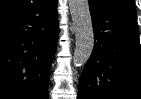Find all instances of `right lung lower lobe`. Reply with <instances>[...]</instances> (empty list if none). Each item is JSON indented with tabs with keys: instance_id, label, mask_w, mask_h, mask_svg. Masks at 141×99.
Returning a JSON list of instances; mask_svg holds the SVG:
<instances>
[{
	"instance_id": "obj_1",
	"label": "right lung lower lobe",
	"mask_w": 141,
	"mask_h": 99,
	"mask_svg": "<svg viewBox=\"0 0 141 99\" xmlns=\"http://www.w3.org/2000/svg\"><path fill=\"white\" fill-rule=\"evenodd\" d=\"M56 8L57 0H26L0 13V99H48Z\"/></svg>"
}]
</instances>
